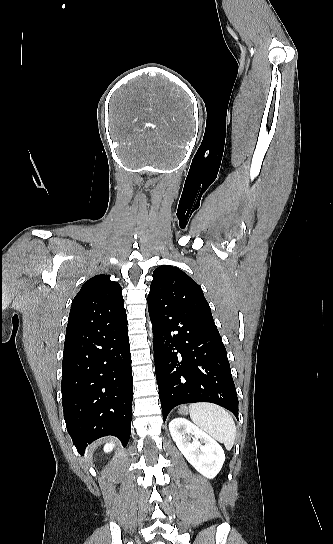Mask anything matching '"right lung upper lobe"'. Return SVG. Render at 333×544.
<instances>
[{
  "mask_svg": "<svg viewBox=\"0 0 333 544\" xmlns=\"http://www.w3.org/2000/svg\"><path fill=\"white\" fill-rule=\"evenodd\" d=\"M122 288L109 275H96L87 280L75 296L66 334L90 325L119 318L125 314Z\"/></svg>",
  "mask_w": 333,
  "mask_h": 544,
  "instance_id": "1",
  "label": "right lung upper lobe"
}]
</instances>
